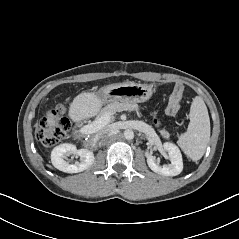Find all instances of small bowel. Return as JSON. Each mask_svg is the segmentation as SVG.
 <instances>
[{
    "mask_svg": "<svg viewBox=\"0 0 239 239\" xmlns=\"http://www.w3.org/2000/svg\"><path fill=\"white\" fill-rule=\"evenodd\" d=\"M182 94V87L181 86H176L174 91H173V95L170 99V102L167 106V113L169 115H175L178 110H179V99H180V96Z\"/></svg>",
    "mask_w": 239,
    "mask_h": 239,
    "instance_id": "c3829d8e",
    "label": "small bowel"
}]
</instances>
